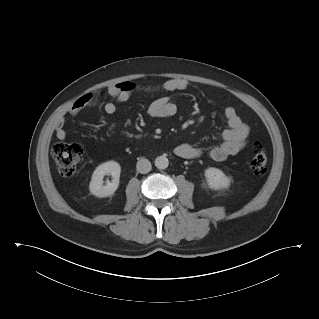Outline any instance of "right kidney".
<instances>
[{
	"mask_svg": "<svg viewBox=\"0 0 319 319\" xmlns=\"http://www.w3.org/2000/svg\"><path fill=\"white\" fill-rule=\"evenodd\" d=\"M121 166L115 161H108L99 165L92 174L89 184L90 192L99 198L112 195L119 186ZM112 175V181L103 185V177Z\"/></svg>",
	"mask_w": 319,
	"mask_h": 319,
	"instance_id": "obj_1",
	"label": "right kidney"
}]
</instances>
